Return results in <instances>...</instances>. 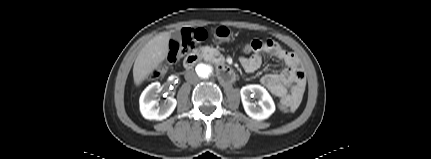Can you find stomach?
Listing matches in <instances>:
<instances>
[{"label": "stomach", "mask_w": 431, "mask_h": 159, "mask_svg": "<svg viewBox=\"0 0 431 159\" xmlns=\"http://www.w3.org/2000/svg\"><path fill=\"white\" fill-rule=\"evenodd\" d=\"M215 38L219 42H228L231 37V30L227 26H218L214 32Z\"/></svg>", "instance_id": "0dacf381"}]
</instances>
